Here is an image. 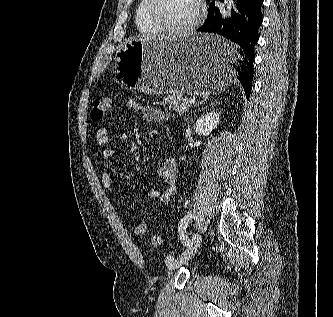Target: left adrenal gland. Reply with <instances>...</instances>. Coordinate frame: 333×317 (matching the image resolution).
I'll list each match as a JSON object with an SVG mask.
<instances>
[{"label": "left adrenal gland", "mask_w": 333, "mask_h": 317, "mask_svg": "<svg viewBox=\"0 0 333 317\" xmlns=\"http://www.w3.org/2000/svg\"><path fill=\"white\" fill-rule=\"evenodd\" d=\"M218 104H220V101H218V100H215L214 102H212L210 105L212 106V105H218Z\"/></svg>", "instance_id": "a2214340"}]
</instances>
